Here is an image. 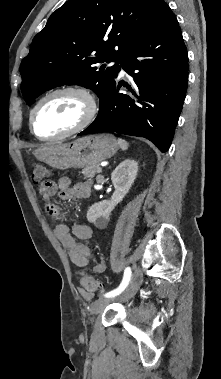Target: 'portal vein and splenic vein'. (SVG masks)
Instances as JSON below:
<instances>
[{"instance_id":"obj_1","label":"portal vein and splenic vein","mask_w":221,"mask_h":379,"mask_svg":"<svg viewBox=\"0 0 221 379\" xmlns=\"http://www.w3.org/2000/svg\"><path fill=\"white\" fill-rule=\"evenodd\" d=\"M97 172H98V173H101V172H102V168L99 167V168L97 169Z\"/></svg>"}]
</instances>
